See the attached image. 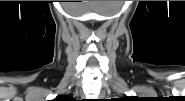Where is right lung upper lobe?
I'll return each mask as SVG.
<instances>
[{
  "label": "right lung upper lobe",
  "instance_id": "right-lung-upper-lobe-1",
  "mask_svg": "<svg viewBox=\"0 0 185 101\" xmlns=\"http://www.w3.org/2000/svg\"><path fill=\"white\" fill-rule=\"evenodd\" d=\"M67 98V96H58L56 99L59 101H64Z\"/></svg>",
  "mask_w": 185,
  "mask_h": 101
}]
</instances>
